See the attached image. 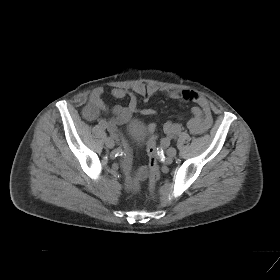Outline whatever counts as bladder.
<instances>
[{
	"label": "bladder",
	"instance_id": "1",
	"mask_svg": "<svg viewBox=\"0 0 280 280\" xmlns=\"http://www.w3.org/2000/svg\"><path fill=\"white\" fill-rule=\"evenodd\" d=\"M127 133L134 144L140 145L145 140L147 131L143 123L134 120L128 123Z\"/></svg>",
	"mask_w": 280,
	"mask_h": 280
}]
</instances>
